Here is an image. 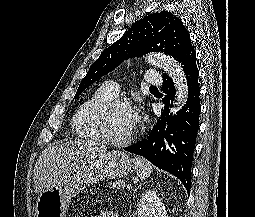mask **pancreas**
Instances as JSON below:
<instances>
[{"instance_id": "cf45deb5", "label": "pancreas", "mask_w": 255, "mask_h": 217, "mask_svg": "<svg viewBox=\"0 0 255 217\" xmlns=\"http://www.w3.org/2000/svg\"><path fill=\"white\" fill-rule=\"evenodd\" d=\"M110 185L112 186V188L114 189H121L124 188L125 186V181L124 180H116L114 182H111Z\"/></svg>"}]
</instances>
